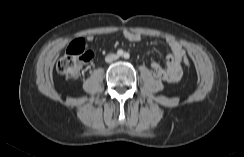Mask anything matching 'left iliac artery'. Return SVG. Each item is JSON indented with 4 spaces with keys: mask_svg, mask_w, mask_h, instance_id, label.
<instances>
[{
    "mask_svg": "<svg viewBox=\"0 0 244 157\" xmlns=\"http://www.w3.org/2000/svg\"><path fill=\"white\" fill-rule=\"evenodd\" d=\"M124 58L125 59H129L130 58V54L129 53H124Z\"/></svg>",
    "mask_w": 244,
    "mask_h": 157,
    "instance_id": "left-iliac-artery-1",
    "label": "left iliac artery"
}]
</instances>
